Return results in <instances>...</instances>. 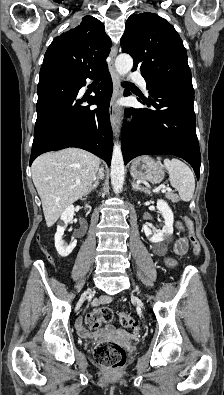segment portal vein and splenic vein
Returning <instances> with one entry per match:
<instances>
[{"mask_svg":"<svg viewBox=\"0 0 224 395\" xmlns=\"http://www.w3.org/2000/svg\"><path fill=\"white\" fill-rule=\"evenodd\" d=\"M169 190H170V188H165V187H164L161 191H162V192H165V191H169Z\"/></svg>","mask_w":224,"mask_h":395,"instance_id":"portal-vein-and-splenic-vein-1","label":"portal vein and splenic vein"}]
</instances>
